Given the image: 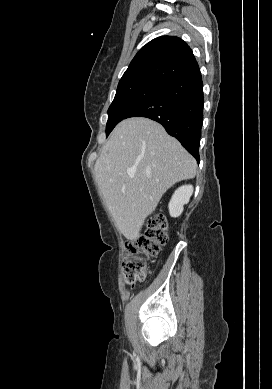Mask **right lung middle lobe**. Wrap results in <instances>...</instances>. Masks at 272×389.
Segmentation results:
<instances>
[{
	"label": "right lung middle lobe",
	"mask_w": 272,
	"mask_h": 389,
	"mask_svg": "<svg viewBox=\"0 0 272 389\" xmlns=\"http://www.w3.org/2000/svg\"><path fill=\"white\" fill-rule=\"evenodd\" d=\"M164 84L154 81H138L119 85L108 109L106 136L138 104L161 89Z\"/></svg>",
	"instance_id": "right-lung-middle-lobe-1"
}]
</instances>
